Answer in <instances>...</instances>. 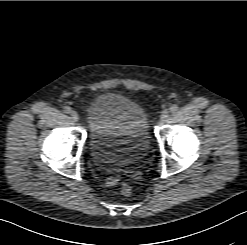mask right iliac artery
Segmentation results:
<instances>
[{
    "label": "right iliac artery",
    "instance_id": "obj_1",
    "mask_svg": "<svg viewBox=\"0 0 247 245\" xmlns=\"http://www.w3.org/2000/svg\"><path fill=\"white\" fill-rule=\"evenodd\" d=\"M63 110H64V112L67 113V114L71 112V109H70V107H68V106H65V107L63 108Z\"/></svg>",
    "mask_w": 247,
    "mask_h": 245
}]
</instances>
